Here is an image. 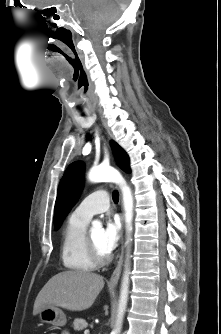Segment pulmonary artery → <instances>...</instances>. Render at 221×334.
Here are the masks:
<instances>
[{
  "label": "pulmonary artery",
  "instance_id": "1",
  "mask_svg": "<svg viewBox=\"0 0 221 334\" xmlns=\"http://www.w3.org/2000/svg\"><path fill=\"white\" fill-rule=\"evenodd\" d=\"M110 206L109 194L99 189L84 198L74 209L73 214L83 220L89 221L95 214L106 211Z\"/></svg>",
  "mask_w": 221,
  "mask_h": 334
}]
</instances>
